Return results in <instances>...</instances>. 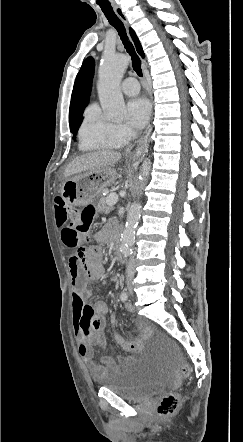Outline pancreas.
Wrapping results in <instances>:
<instances>
[{
	"instance_id": "1",
	"label": "pancreas",
	"mask_w": 243,
	"mask_h": 442,
	"mask_svg": "<svg viewBox=\"0 0 243 442\" xmlns=\"http://www.w3.org/2000/svg\"><path fill=\"white\" fill-rule=\"evenodd\" d=\"M109 196H110V195H109ZM109 196H108V197H109ZM108 197H106V198H101V199H100V201H99L98 204H97V210H98V212H101V213H109L111 210H113V206H110V205L108 204V202H107Z\"/></svg>"
}]
</instances>
